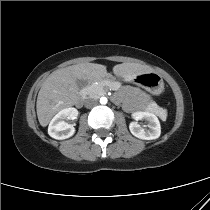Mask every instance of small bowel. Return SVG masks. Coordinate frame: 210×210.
Listing matches in <instances>:
<instances>
[{"mask_svg":"<svg viewBox=\"0 0 210 210\" xmlns=\"http://www.w3.org/2000/svg\"><path fill=\"white\" fill-rule=\"evenodd\" d=\"M117 102H124V106L127 110L132 111L136 108L137 102L146 103L148 97L138 91L127 89L125 92L115 96Z\"/></svg>","mask_w":210,"mask_h":210,"instance_id":"small-bowel-1","label":"small bowel"}]
</instances>
